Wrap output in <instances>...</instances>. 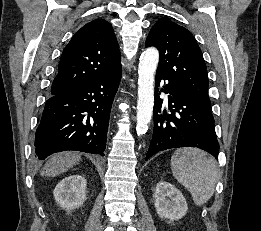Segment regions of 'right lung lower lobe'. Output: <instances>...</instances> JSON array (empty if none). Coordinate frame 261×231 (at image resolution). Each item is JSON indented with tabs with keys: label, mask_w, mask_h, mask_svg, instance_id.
<instances>
[{
	"label": "right lung lower lobe",
	"mask_w": 261,
	"mask_h": 231,
	"mask_svg": "<svg viewBox=\"0 0 261 231\" xmlns=\"http://www.w3.org/2000/svg\"><path fill=\"white\" fill-rule=\"evenodd\" d=\"M121 65L91 82L46 101L35 135L40 160L65 150L104 156L109 117Z\"/></svg>",
	"instance_id": "1"
}]
</instances>
